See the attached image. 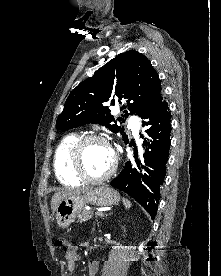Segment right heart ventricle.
Segmentation results:
<instances>
[{
    "instance_id": "1",
    "label": "right heart ventricle",
    "mask_w": 221,
    "mask_h": 276,
    "mask_svg": "<svg viewBox=\"0 0 221 276\" xmlns=\"http://www.w3.org/2000/svg\"><path fill=\"white\" fill-rule=\"evenodd\" d=\"M79 138L78 133H69L62 138L54 155V168L58 179L66 185H78L79 179L70 166L69 154L74 142Z\"/></svg>"
}]
</instances>
